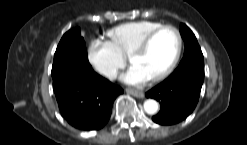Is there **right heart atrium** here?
Returning a JSON list of instances; mask_svg holds the SVG:
<instances>
[{
    "label": "right heart atrium",
    "mask_w": 247,
    "mask_h": 145,
    "mask_svg": "<svg viewBox=\"0 0 247 145\" xmlns=\"http://www.w3.org/2000/svg\"><path fill=\"white\" fill-rule=\"evenodd\" d=\"M88 59L95 69L106 77H113L125 63V58L118 49L102 38H95L90 42Z\"/></svg>",
    "instance_id": "right-heart-atrium-1"
}]
</instances>
